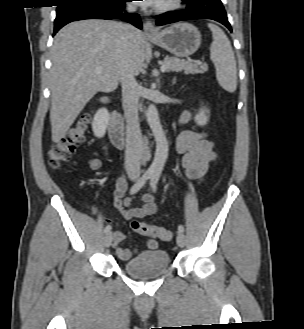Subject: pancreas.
I'll use <instances>...</instances> for the list:
<instances>
[{
  "instance_id": "cf45deb5",
  "label": "pancreas",
  "mask_w": 304,
  "mask_h": 329,
  "mask_svg": "<svg viewBox=\"0 0 304 329\" xmlns=\"http://www.w3.org/2000/svg\"><path fill=\"white\" fill-rule=\"evenodd\" d=\"M164 64H167L168 71L182 72L186 74H198L204 73L208 70V66L201 62H192L191 60L179 59L176 57L166 56L164 59Z\"/></svg>"
}]
</instances>
